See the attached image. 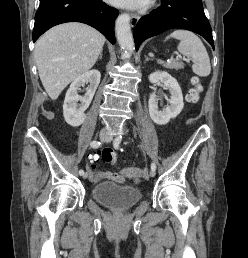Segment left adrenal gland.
Returning a JSON list of instances; mask_svg holds the SVG:
<instances>
[{
    "label": "left adrenal gland",
    "instance_id": "obj_1",
    "mask_svg": "<svg viewBox=\"0 0 248 258\" xmlns=\"http://www.w3.org/2000/svg\"><path fill=\"white\" fill-rule=\"evenodd\" d=\"M149 60H150V58L148 56H145V61L147 62Z\"/></svg>",
    "mask_w": 248,
    "mask_h": 258
}]
</instances>
